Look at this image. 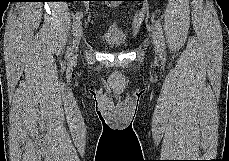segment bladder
<instances>
[{"mask_svg":"<svg viewBox=\"0 0 229 161\" xmlns=\"http://www.w3.org/2000/svg\"><path fill=\"white\" fill-rule=\"evenodd\" d=\"M104 43L111 48H120L125 44V34L117 26H109L102 35Z\"/></svg>","mask_w":229,"mask_h":161,"instance_id":"obj_1","label":"bladder"}]
</instances>
